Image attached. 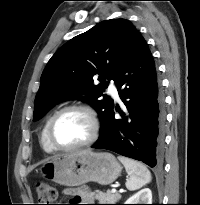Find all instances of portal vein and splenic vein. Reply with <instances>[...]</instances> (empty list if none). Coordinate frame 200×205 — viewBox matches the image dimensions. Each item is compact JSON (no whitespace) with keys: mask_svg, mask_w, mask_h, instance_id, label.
<instances>
[{"mask_svg":"<svg viewBox=\"0 0 200 205\" xmlns=\"http://www.w3.org/2000/svg\"><path fill=\"white\" fill-rule=\"evenodd\" d=\"M111 192L115 193L116 192V188H112Z\"/></svg>","mask_w":200,"mask_h":205,"instance_id":"obj_1","label":"portal vein and splenic vein"}]
</instances>
